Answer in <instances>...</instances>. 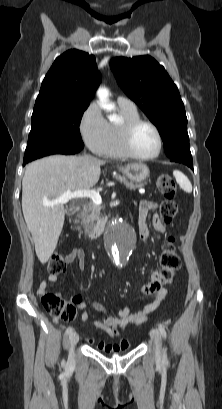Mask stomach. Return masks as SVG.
<instances>
[{
	"label": "stomach",
	"mask_w": 222,
	"mask_h": 409,
	"mask_svg": "<svg viewBox=\"0 0 222 409\" xmlns=\"http://www.w3.org/2000/svg\"><path fill=\"white\" fill-rule=\"evenodd\" d=\"M119 170L132 182H143L149 177V168L143 163H130L119 167Z\"/></svg>",
	"instance_id": "1"
}]
</instances>
